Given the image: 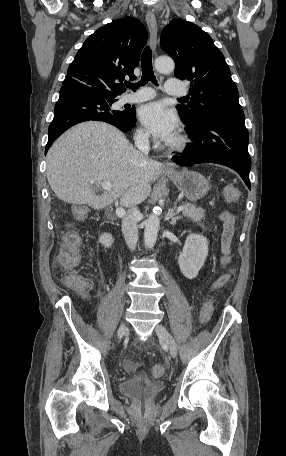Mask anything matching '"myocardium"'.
Listing matches in <instances>:
<instances>
[{"label":"myocardium","mask_w":286,"mask_h":456,"mask_svg":"<svg viewBox=\"0 0 286 456\" xmlns=\"http://www.w3.org/2000/svg\"><path fill=\"white\" fill-rule=\"evenodd\" d=\"M188 143V137L185 134L180 133L174 138L172 142L168 144V148L172 151H181L187 146Z\"/></svg>","instance_id":"myocardium-1"}]
</instances>
